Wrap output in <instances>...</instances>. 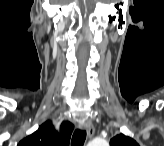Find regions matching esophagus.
I'll return each mask as SVG.
<instances>
[{
    "label": "esophagus",
    "mask_w": 164,
    "mask_h": 146,
    "mask_svg": "<svg viewBox=\"0 0 164 146\" xmlns=\"http://www.w3.org/2000/svg\"><path fill=\"white\" fill-rule=\"evenodd\" d=\"M81 128L86 130L88 137H92L95 133V128L89 121L82 123Z\"/></svg>",
    "instance_id": "obj_1"
}]
</instances>
